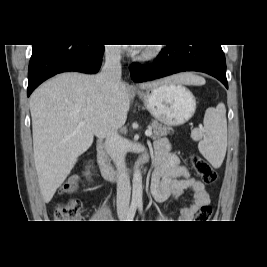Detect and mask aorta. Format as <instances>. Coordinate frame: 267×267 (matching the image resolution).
Listing matches in <instances>:
<instances>
[{"instance_id": "obj_1", "label": "aorta", "mask_w": 267, "mask_h": 267, "mask_svg": "<svg viewBox=\"0 0 267 267\" xmlns=\"http://www.w3.org/2000/svg\"><path fill=\"white\" fill-rule=\"evenodd\" d=\"M142 174L139 169H135L133 173V180H132V199L136 202L142 201Z\"/></svg>"}]
</instances>
